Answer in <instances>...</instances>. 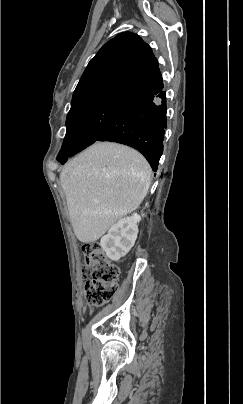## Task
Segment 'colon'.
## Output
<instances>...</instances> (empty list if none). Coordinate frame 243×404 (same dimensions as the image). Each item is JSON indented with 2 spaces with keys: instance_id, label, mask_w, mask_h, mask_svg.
Masks as SVG:
<instances>
[{
  "instance_id": "5ec220e1",
  "label": "colon",
  "mask_w": 243,
  "mask_h": 404,
  "mask_svg": "<svg viewBox=\"0 0 243 404\" xmlns=\"http://www.w3.org/2000/svg\"><path fill=\"white\" fill-rule=\"evenodd\" d=\"M82 251L86 266L91 269V277L85 286L86 301L93 307H101L116 294L120 270L108 259L99 243H85ZM83 275H86L85 271Z\"/></svg>"
}]
</instances>
